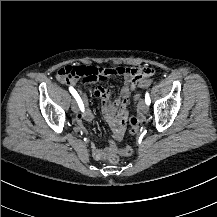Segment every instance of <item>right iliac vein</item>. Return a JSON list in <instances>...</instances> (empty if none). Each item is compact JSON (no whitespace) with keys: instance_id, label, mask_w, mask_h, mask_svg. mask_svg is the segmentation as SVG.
<instances>
[{"instance_id":"right-iliac-vein-1","label":"right iliac vein","mask_w":217,"mask_h":217,"mask_svg":"<svg viewBox=\"0 0 217 217\" xmlns=\"http://www.w3.org/2000/svg\"><path fill=\"white\" fill-rule=\"evenodd\" d=\"M71 109L74 113H78L79 111L77 102L75 100H72L71 102Z\"/></svg>"}]
</instances>
